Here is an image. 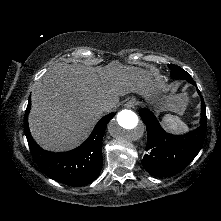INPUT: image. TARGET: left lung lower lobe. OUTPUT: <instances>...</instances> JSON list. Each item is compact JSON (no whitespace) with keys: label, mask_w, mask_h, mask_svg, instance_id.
Wrapping results in <instances>:
<instances>
[{"label":"left lung lower lobe","mask_w":221,"mask_h":221,"mask_svg":"<svg viewBox=\"0 0 221 221\" xmlns=\"http://www.w3.org/2000/svg\"><path fill=\"white\" fill-rule=\"evenodd\" d=\"M187 81L196 86L189 76ZM201 97L200 126L184 135L166 133L160 126L154 114L147 108L140 110V116L146 124L148 154L144 155L142 165L148 173L156 177H166L182 171L199 153L203 146L207 117Z\"/></svg>","instance_id":"1"}]
</instances>
